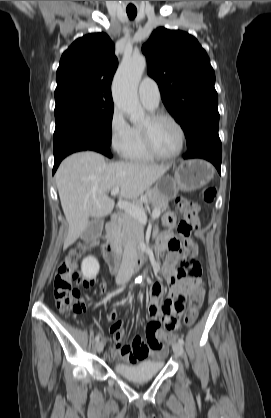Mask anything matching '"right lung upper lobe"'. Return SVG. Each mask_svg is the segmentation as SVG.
Segmentation results:
<instances>
[{
	"mask_svg": "<svg viewBox=\"0 0 271 418\" xmlns=\"http://www.w3.org/2000/svg\"><path fill=\"white\" fill-rule=\"evenodd\" d=\"M117 66L114 45L107 34L94 33L77 39L61 57L55 101H112L111 82Z\"/></svg>",
	"mask_w": 271,
	"mask_h": 418,
	"instance_id": "obj_1",
	"label": "right lung upper lobe"
}]
</instances>
